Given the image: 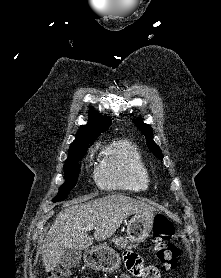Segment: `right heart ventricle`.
Masks as SVG:
<instances>
[{"label":"right heart ventricle","instance_id":"1","mask_svg":"<svg viewBox=\"0 0 221 278\" xmlns=\"http://www.w3.org/2000/svg\"><path fill=\"white\" fill-rule=\"evenodd\" d=\"M95 178L102 189L133 193L146 191L151 182L140 149L128 140H120L106 147L97 164Z\"/></svg>","mask_w":221,"mask_h":278}]
</instances>
